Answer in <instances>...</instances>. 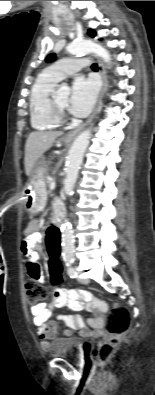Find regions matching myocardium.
<instances>
[{
    "label": "myocardium",
    "mask_w": 155,
    "mask_h": 395,
    "mask_svg": "<svg viewBox=\"0 0 155 395\" xmlns=\"http://www.w3.org/2000/svg\"><path fill=\"white\" fill-rule=\"evenodd\" d=\"M55 93L56 92L53 90L49 98L50 111L56 120L63 122L66 120V111L57 103Z\"/></svg>",
    "instance_id": "myocardium-1"
}]
</instances>
